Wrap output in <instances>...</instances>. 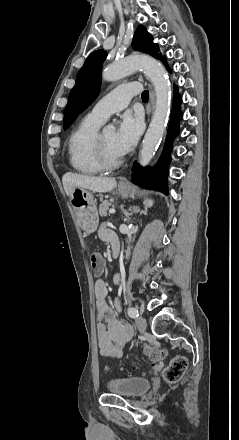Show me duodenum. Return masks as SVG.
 Returning a JSON list of instances; mask_svg holds the SVG:
<instances>
[{
    "label": "duodenum",
    "instance_id": "410a0bca",
    "mask_svg": "<svg viewBox=\"0 0 239 440\" xmlns=\"http://www.w3.org/2000/svg\"><path fill=\"white\" fill-rule=\"evenodd\" d=\"M118 254H119V245L116 242V243L112 244V255H113V257H116V256H118Z\"/></svg>",
    "mask_w": 239,
    "mask_h": 440
}]
</instances>
